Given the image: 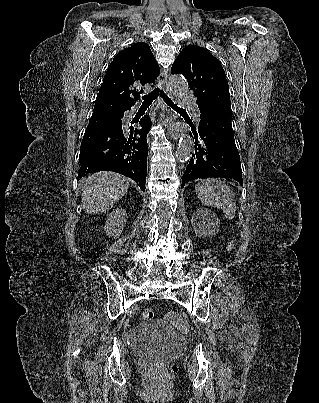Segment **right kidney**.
Masks as SVG:
<instances>
[{
    "mask_svg": "<svg viewBox=\"0 0 319 403\" xmlns=\"http://www.w3.org/2000/svg\"><path fill=\"white\" fill-rule=\"evenodd\" d=\"M127 221V214L124 209L114 210L106 221L104 230L108 237L117 238L121 235Z\"/></svg>",
    "mask_w": 319,
    "mask_h": 403,
    "instance_id": "right-kidney-1",
    "label": "right kidney"
}]
</instances>
